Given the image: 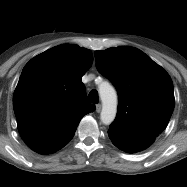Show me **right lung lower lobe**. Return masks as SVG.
<instances>
[{
	"instance_id": "right-lung-lower-lobe-1",
	"label": "right lung lower lobe",
	"mask_w": 187,
	"mask_h": 187,
	"mask_svg": "<svg viewBox=\"0 0 187 187\" xmlns=\"http://www.w3.org/2000/svg\"><path fill=\"white\" fill-rule=\"evenodd\" d=\"M71 139H72V138H71ZM71 139H70V140H71ZM70 140H69V141H70ZM69 141H68V142H69ZM68 142H67V143H68ZM67 143H66V144H67ZM66 144H65V145H66ZM65 145H64V146H65Z\"/></svg>"
}]
</instances>
